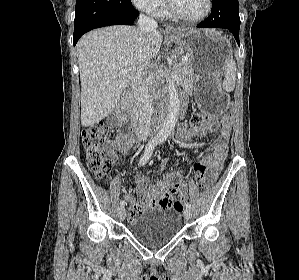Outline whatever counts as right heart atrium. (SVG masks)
<instances>
[{
    "label": "right heart atrium",
    "instance_id": "1",
    "mask_svg": "<svg viewBox=\"0 0 299 280\" xmlns=\"http://www.w3.org/2000/svg\"><path fill=\"white\" fill-rule=\"evenodd\" d=\"M133 4L150 14L157 13L163 6L164 0H131Z\"/></svg>",
    "mask_w": 299,
    "mask_h": 280
}]
</instances>
